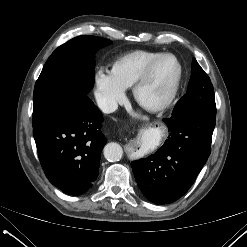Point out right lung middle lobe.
I'll return each mask as SVG.
<instances>
[{
    "mask_svg": "<svg viewBox=\"0 0 247 247\" xmlns=\"http://www.w3.org/2000/svg\"><path fill=\"white\" fill-rule=\"evenodd\" d=\"M109 44L110 40L101 37L78 36L52 53L35 84L33 128L63 108L72 96L85 94L93 87L94 55Z\"/></svg>",
    "mask_w": 247,
    "mask_h": 247,
    "instance_id": "right-lung-middle-lobe-1",
    "label": "right lung middle lobe"
}]
</instances>
